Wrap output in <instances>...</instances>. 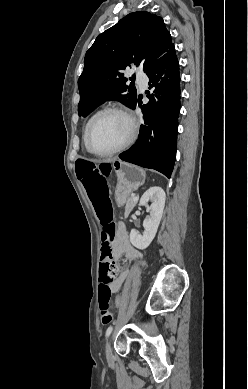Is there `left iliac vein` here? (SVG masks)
Here are the masks:
<instances>
[{
	"instance_id": "left-iliac-vein-1",
	"label": "left iliac vein",
	"mask_w": 248,
	"mask_h": 389,
	"mask_svg": "<svg viewBox=\"0 0 248 389\" xmlns=\"http://www.w3.org/2000/svg\"><path fill=\"white\" fill-rule=\"evenodd\" d=\"M105 353H106V359L108 362H111L112 361V349H111V339L107 342L106 344V349H105Z\"/></svg>"
}]
</instances>
